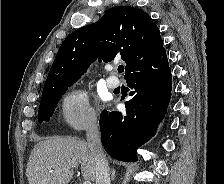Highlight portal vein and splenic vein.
I'll return each mask as SVG.
<instances>
[{
  "mask_svg": "<svg viewBox=\"0 0 224 184\" xmlns=\"http://www.w3.org/2000/svg\"><path fill=\"white\" fill-rule=\"evenodd\" d=\"M83 184H92L90 181H84Z\"/></svg>",
  "mask_w": 224,
  "mask_h": 184,
  "instance_id": "obj_1",
  "label": "portal vein and splenic vein"
}]
</instances>
